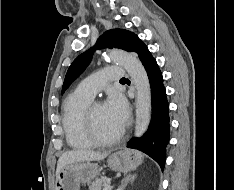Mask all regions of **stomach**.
<instances>
[{
	"label": "stomach",
	"mask_w": 234,
	"mask_h": 190,
	"mask_svg": "<svg viewBox=\"0 0 234 190\" xmlns=\"http://www.w3.org/2000/svg\"><path fill=\"white\" fill-rule=\"evenodd\" d=\"M142 160L139 152L121 149L109 156L108 165L114 171L127 173L136 169ZM98 174L97 164L88 161L67 164L56 175L55 190H79L80 184L89 183Z\"/></svg>",
	"instance_id": "1"
}]
</instances>
